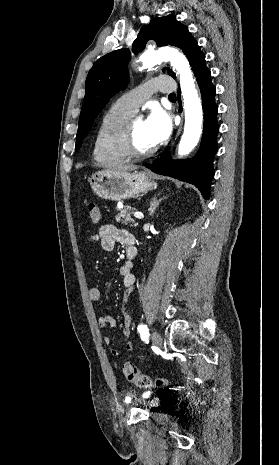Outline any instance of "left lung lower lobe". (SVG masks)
Segmentation results:
<instances>
[{"mask_svg":"<svg viewBox=\"0 0 279 465\" xmlns=\"http://www.w3.org/2000/svg\"><path fill=\"white\" fill-rule=\"evenodd\" d=\"M202 96L204 111L203 136L200 148L192 159L173 160L169 150L152 166L146 165L154 173L177 178L195 185L205 199L210 196V182L214 177L213 159L217 152V109L215 87L211 82L210 70L206 67L205 55L202 54L192 67ZM180 92V90H179ZM180 94V93H179Z\"/></svg>","mask_w":279,"mask_h":465,"instance_id":"obj_1","label":"left lung lower lobe"}]
</instances>
